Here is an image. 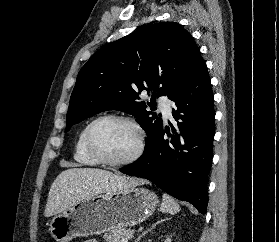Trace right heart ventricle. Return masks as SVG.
<instances>
[{"instance_id":"1","label":"right heart ventricle","mask_w":279,"mask_h":242,"mask_svg":"<svg viewBox=\"0 0 279 242\" xmlns=\"http://www.w3.org/2000/svg\"><path fill=\"white\" fill-rule=\"evenodd\" d=\"M89 125L90 124L85 125L80 131L75 143L73 157L74 160L81 166L94 167L99 165V162L89 153L87 149L86 134Z\"/></svg>"}]
</instances>
